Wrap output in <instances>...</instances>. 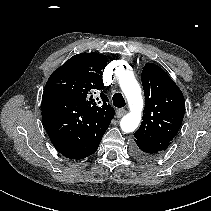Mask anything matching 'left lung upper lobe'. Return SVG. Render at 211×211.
<instances>
[{"label": "left lung upper lobe", "mask_w": 211, "mask_h": 211, "mask_svg": "<svg viewBox=\"0 0 211 211\" xmlns=\"http://www.w3.org/2000/svg\"><path fill=\"white\" fill-rule=\"evenodd\" d=\"M141 80L145 109L134 141L160 153L168 148L179 131L185 113V100L175 82L155 64L144 66Z\"/></svg>", "instance_id": "1"}]
</instances>
